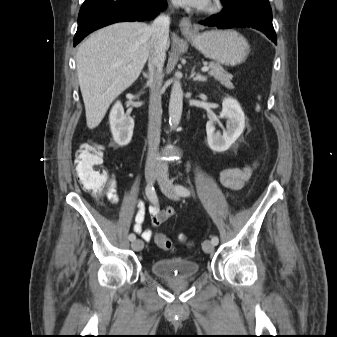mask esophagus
<instances>
[{"mask_svg": "<svg viewBox=\"0 0 337 337\" xmlns=\"http://www.w3.org/2000/svg\"><path fill=\"white\" fill-rule=\"evenodd\" d=\"M180 30L183 35H192L194 28L189 18L183 17L180 21Z\"/></svg>", "mask_w": 337, "mask_h": 337, "instance_id": "34e87169", "label": "esophagus"}]
</instances>
